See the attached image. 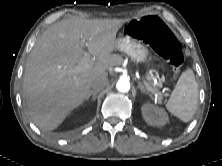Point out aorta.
I'll return each mask as SVG.
<instances>
[{
  "instance_id": "aorta-1",
  "label": "aorta",
  "mask_w": 222,
  "mask_h": 166,
  "mask_svg": "<svg viewBox=\"0 0 222 166\" xmlns=\"http://www.w3.org/2000/svg\"><path fill=\"white\" fill-rule=\"evenodd\" d=\"M116 88L119 92L126 93L130 90V82L127 79H119Z\"/></svg>"
}]
</instances>
